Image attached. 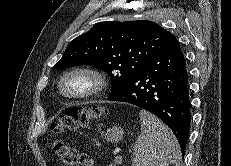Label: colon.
<instances>
[{
  "instance_id": "1",
  "label": "colon",
  "mask_w": 231,
  "mask_h": 166,
  "mask_svg": "<svg viewBox=\"0 0 231 166\" xmlns=\"http://www.w3.org/2000/svg\"><path fill=\"white\" fill-rule=\"evenodd\" d=\"M104 113L105 110L100 106L70 108L54 125V132L62 134L79 127H86L92 119L100 118ZM53 146L55 153L64 166H93L91 157L79 153L65 140L57 138Z\"/></svg>"
}]
</instances>
